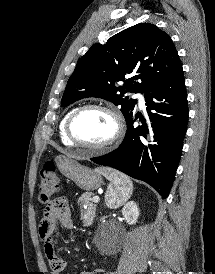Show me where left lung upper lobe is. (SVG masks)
<instances>
[{"label": "left lung upper lobe", "mask_w": 215, "mask_h": 274, "mask_svg": "<svg viewBox=\"0 0 215 274\" xmlns=\"http://www.w3.org/2000/svg\"><path fill=\"white\" fill-rule=\"evenodd\" d=\"M181 66L170 36L153 24L139 23L112 36L105 44L91 46L78 60L61 105L98 97L120 105L127 120L134 113L137 100L124 95L145 93Z\"/></svg>", "instance_id": "5c2ea615"}]
</instances>
